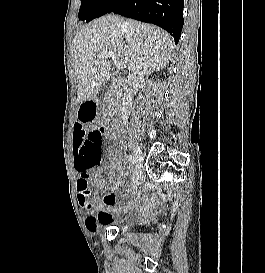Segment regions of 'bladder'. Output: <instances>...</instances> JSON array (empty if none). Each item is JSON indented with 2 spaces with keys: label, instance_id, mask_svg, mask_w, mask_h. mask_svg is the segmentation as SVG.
<instances>
[{
  "label": "bladder",
  "instance_id": "bladder-1",
  "mask_svg": "<svg viewBox=\"0 0 265 273\" xmlns=\"http://www.w3.org/2000/svg\"><path fill=\"white\" fill-rule=\"evenodd\" d=\"M137 223H138V220L135 216H126L120 219L119 221H117L115 225L120 230L131 231L132 229H134Z\"/></svg>",
  "mask_w": 265,
  "mask_h": 273
}]
</instances>
